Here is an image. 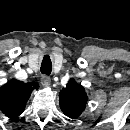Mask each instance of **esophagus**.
<instances>
[{
    "label": "esophagus",
    "instance_id": "esophagus-1",
    "mask_svg": "<svg viewBox=\"0 0 130 130\" xmlns=\"http://www.w3.org/2000/svg\"><path fill=\"white\" fill-rule=\"evenodd\" d=\"M41 83L44 87H49L51 85V79L47 76H42Z\"/></svg>",
    "mask_w": 130,
    "mask_h": 130
}]
</instances>
